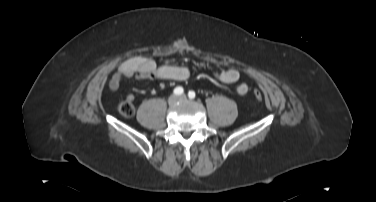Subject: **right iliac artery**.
I'll return each instance as SVG.
<instances>
[{
  "label": "right iliac artery",
  "instance_id": "right-iliac-artery-1",
  "mask_svg": "<svg viewBox=\"0 0 376 202\" xmlns=\"http://www.w3.org/2000/svg\"><path fill=\"white\" fill-rule=\"evenodd\" d=\"M183 92H184V89L182 87H180V86H178V87H176L174 89V94L175 95H181V94H183Z\"/></svg>",
  "mask_w": 376,
  "mask_h": 202
}]
</instances>
